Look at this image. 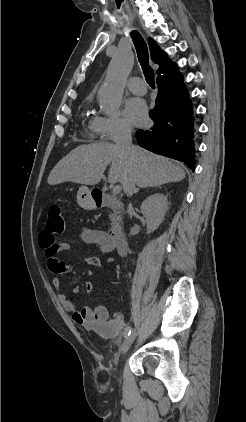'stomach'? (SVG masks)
I'll use <instances>...</instances> for the list:
<instances>
[{"label": "stomach", "mask_w": 246, "mask_h": 422, "mask_svg": "<svg viewBox=\"0 0 246 422\" xmlns=\"http://www.w3.org/2000/svg\"><path fill=\"white\" fill-rule=\"evenodd\" d=\"M77 202L80 207L86 210H92L96 207L95 200L92 196V190L86 186H81L77 193Z\"/></svg>", "instance_id": "1"}]
</instances>
